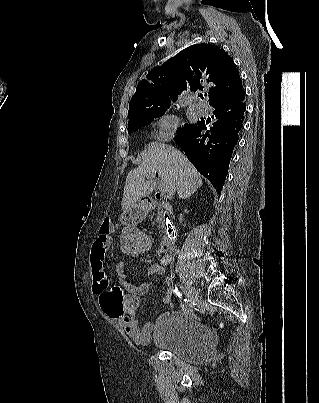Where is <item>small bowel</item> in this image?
I'll list each match as a JSON object with an SVG mask.
<instances>
[{"label": "small bowel", "mask_w": 319, "mask_h": 403, "mask_svg": "<svg viewBox=\"0 0 319 403\" xmlns=\"http://www.w3.org/2000/svg\"><path fill=\"white\" fill-rule=\"evenodd\" d=\"M112 229L111 222L105 221L92 247L90 256L92 289L98 295L101 312L106 313L110 319L118 321L133 341L138 344H147L151 340L154 326L151 323L140 326L135 318L140 296L149 292L150 285L147 282L140 284L128 282L123 270L118 273L119 284H108L104 268V255L110 243L109 234ZM171 264V256L165 254L162 256L160 264H151L148 267L147 274L150 277L155 274L164 275L165 269ZM126 290L128 291L127 295ZM170 294L171 289L169 287L168 295L164 298L165 303H169Z\"/></svg>", "instance_id": "small-bowel-1"}]
</instances>
